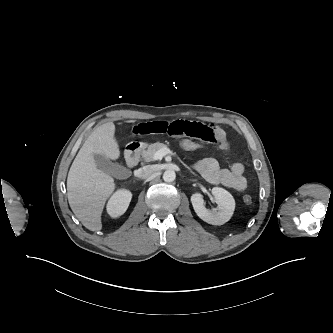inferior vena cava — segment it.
Segmentation results:
<instances>
[{"mask_svg":"<svg viewBox=\"0 0 333 333\" xmlns=\"http://www.w3.org/2000/svg\"><path fill=\"white\" fill-rule=\"evenodd\" d=\"M156 167L152 165L143 166L138 170V177L141 179H147L156 172Z\"/></svg>","mask_w":333,"mask_h":333,"instance_id":"1","label":"inferior vena cava"}]
</instances>
